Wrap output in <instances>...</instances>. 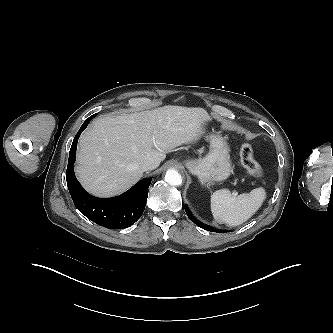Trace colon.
I'll return each mask as SVG.
<instances>
[{
  "label": "colon",
  "mask_w": 333,
  "mask_h": 333,
  "mask_svg": "<svg viewBox=\"0 0 333 333\" xmlns=\"http://www.w3.org/2000/svg\"><path fill=\"white\" fill-rule=\"evenodd\" d=\"M240 162L244 169L254 177H260L263 169L259 162L255 159L253 149L250 144L244 143L239 150Z\"/></svg>",
  "instance_id": "colon-1"
}]
</instances>
